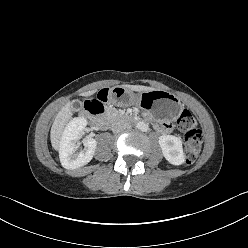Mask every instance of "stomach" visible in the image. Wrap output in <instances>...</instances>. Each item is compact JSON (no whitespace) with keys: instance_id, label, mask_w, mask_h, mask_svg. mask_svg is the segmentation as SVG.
Masks as SVG:
<instances>
[{"instance_id":"1","label":"stomach","mask_w":248,"mask_h":248,"mask_svg":"<svg viewBox=\"0 0 248 248\" xmlns=\"http://www.w3.org/2000/svg\"><path fill=\"white\" fill-rule=\"evenodd\" d=\"M114 98L121 106H129L137 102L140 109L147 111L155 119H174L181 110L180 100L163 90L143 92L136 96L130 89L120 86L114 90Z\"/></svg>"}]
</instances>
